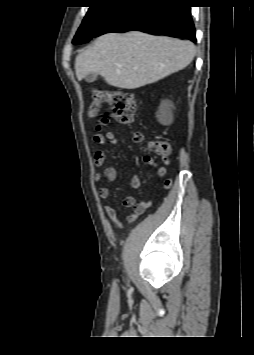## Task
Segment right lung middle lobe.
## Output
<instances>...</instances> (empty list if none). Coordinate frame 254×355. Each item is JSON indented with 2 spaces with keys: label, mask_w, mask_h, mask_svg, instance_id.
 I'll use <instances>...</instances> for the list:
<instances>
[{
  "label": "right lung middle lobe",
  "mask_w": 254,
  "mask_h": 355,
  "mask_svg": "<svg viewBox=\"0 0 254 355\" xmlns=\"http://www.w3.org/2000/svg\"><path fill=\"white\" fill-rule=\"evenodd\" d=\"M120 4L122 3L105 1L95 3L91 6L77 31L74 40H90Z\"/></svg>",
  "instance_id": "dd1d6c3e"
}]
</instances>
